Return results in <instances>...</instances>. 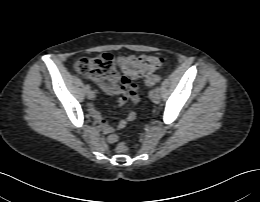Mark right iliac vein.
Masks as SVG:
<instances>
[{"instance_id":"right-iliac-vein-1","label":"right iliac vein","mask_w":260,"mask_h":202,"mask_svg":"<svg viewBox=\"0 0 260 202\" xmlns=\"http://www.w3.org/2000/svg\"><path fill=\"white\" fill-rule=\"evenodd\" d=\"M87 97H88V99H90V100L94 99V97H95L94 92L91 91V90H89V91L87 92Z\"/></svg>"}]
</instances>
